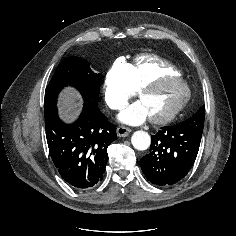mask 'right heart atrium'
<instances>
[{"label":"right heart atrium","mask_w":236,"mask_h":236,"mask_svg":"<svg viewBox=\"0 0 236 236\" xmlns=\"http://www.w3.org/2000/svg\"><path fill=\"white\" fill-rule=\"evenodd\" d=\"M129 64L117 60L108 69L103 81V95L106 103L112 109H121L133 95L129 85Z\"/></svg>","instance_id":"d8ad5b80"}]
</instances>
